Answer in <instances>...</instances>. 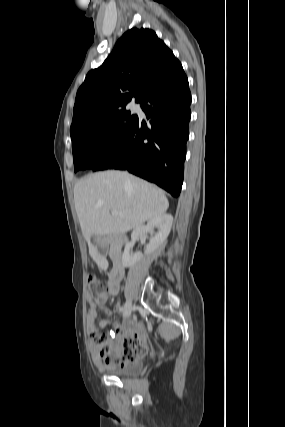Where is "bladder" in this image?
<instances>
[{
	"mask_svg": "<svg viewBox=\"0 0 285 427\" xmlns=\"http://www.w3.org/2000/svg\"><path fill=\"white\" fill-rule=\"evenodd\" d=\"M142 370V365L138 362H128L123 366L110 368L108 372L117 377H127L138 375Z\"/></svg>",
	"mask_w": 285,
	"mask_h": 427,
	"instance_id": "1",
	"label": "bladder"
}]
</instances>
